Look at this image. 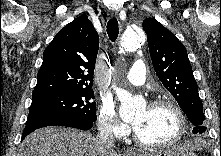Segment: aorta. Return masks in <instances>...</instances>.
<instances>
[{
  "mask_svg": "<svg viewBox=\"0 0 221 156\" xmlns=\"http://www.w3.org/2000/svg\"><path fill=\"white\" fill-rule=\"evenodd\" d=\"M141 34L135 30L125 31L120 38V46L126 51H134L141 45ZM118 100L121 102L119 114L122 119L130 120L135 112L143 107V101L133 97L128 91L113 86Z\"/></svg>",
  "mask_w": 221,
  "mask_h": 156,
  "instance_id": "762f6f07",
  "label": "aorta"
}]
</instances>
